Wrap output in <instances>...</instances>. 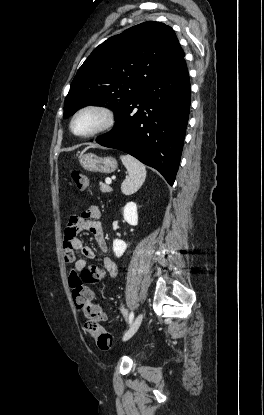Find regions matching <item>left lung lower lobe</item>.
<instances>
[{"instance_id": "left-lung-lower-lobe-1", "label": "left lung lower lobe", "mask_w": 264, "mask_h": 415, "mask_svg": "<svg viewBox=\"0 0 264 415\" xmlns=\"http://www.w3.org/2000/svg\"><path fill=\"white\" fill-rule=\"evenodd\" d=\"M190 110L184 58L143 88L117 116L114 128L95 139L158 170L172 185L179 167Z\"/></svg>"}]
</instances>
